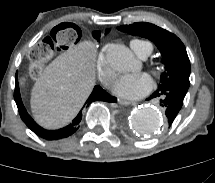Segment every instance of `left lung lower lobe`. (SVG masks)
<instances>
[{"instance_id":"0a47b994","label":"left lung lower lobe","mask_w":215,"mask_h":183,"mask_svg":"<svg viewBox=\"0 0 215 183\" xmlns=\"http://www.w3.org/2000/svg\"><path fill=\"white\" fill-rule=\"evenodd\" d=\"M187 91V89L179 85L168 84L158 87L149 97L148 100L156 99L159 101L160 106L164 108L169 127L179 113Z\"/></svg>"}]
</instances>
